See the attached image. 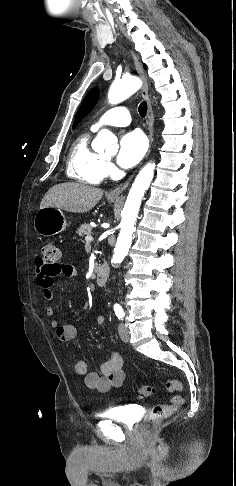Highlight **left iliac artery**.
<instances>
[{
    "label": "left iliac artery",
    "instance_id": "left-iliac-artery-1",
    "mask_svg": "<svg viewBox=\"0 0 236 486\" xmlns=\"http://www.w3.org/2000/svg\"><path fill=\"white\" fill-rule=\"evenodd\" d=\"M114 311H115L117 318L122 320L123 317H124V311H123L122 307L119 304H115L114 305Z\"/></svg>",
    "mask_w": 236,
    "mask_h": 486
}]
</instances>
